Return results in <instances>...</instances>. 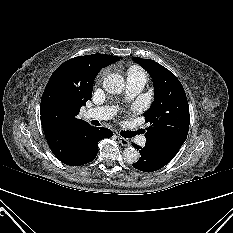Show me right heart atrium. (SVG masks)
<instances>
[{"label": "right heart atrium", "instance_id": "1", "mask_svg": "<svg viewBox=\"0 0 233 233\" xmlns=\"http://www.w3.org/2000/svg\"><path fill=\"white\" fill-rule=\"evenodd\" d=\"M107 73V70H103L101 73H100V78L104 77Z\"/></svg>", "mask_w": 233, "mask_h": 233}]
</instances>
